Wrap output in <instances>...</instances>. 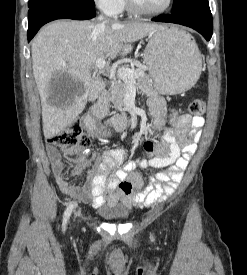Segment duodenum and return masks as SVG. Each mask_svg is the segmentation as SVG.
<instances>
[{
  "mask_svg": "<svg viewBox=\"0 0 247 275\" xmlns=\"http://www.w3.org/2000/svg\"><path fill=\"white\" fill-rule=\"evenodd\" d=\"M108 101V91H103L98 99L97 107L105 108L107 106ZM92 117V115L90 116ZM127 121L125 117H115L108 121V125L113 127L117 131H122L126 127Z\"/></svg>",
  "mask_w": 247,
  "mask_h": 275,
  "instance_id": "410a0bca",
  "label": "duodenum"
}]
</instances>
